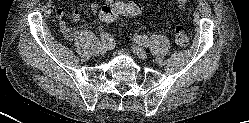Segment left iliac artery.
<instances>
[{
  "instance_id": "left-iliac-artery-1",
  "label": "left iliac artery",
  "mask_w": 249,
  "mask_h": 123,
  "mask_svg": "<svg viewBox=\"0 0 249 123\" xmlns=\"http://www.w3.org/2000/svg\"><path fill=\"white\" fill-rule=\"evenodd\" d=\"M136 39L138 43L144 47H148L149 45V38L145 35H137Z\"/></svg>"
}]
</instances>
